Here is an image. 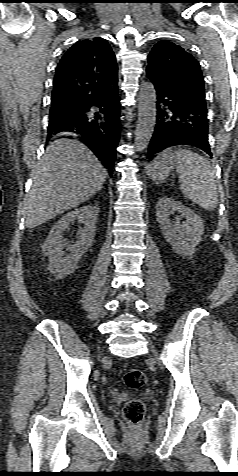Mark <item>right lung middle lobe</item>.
Here are the masks:
<instances>
[{"mask_svg": "<svg viewBox=\"0 0 238 476\" xmlns=\"http://www.w3.org/2000/svg\"><path fill=\"white\" fill-rule=\"evenodd\" d=\"M81 109L78 108H52L50 110L49 122H61L70 119L72 116L79 113Z\"/></svg>", "mask_w": 238, "mask_h": 476, "instance_id": "1", "label": "right lung middle lobe"}]
</instances>
